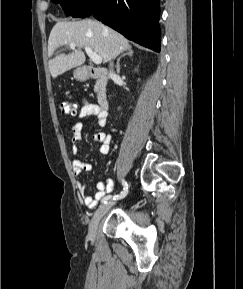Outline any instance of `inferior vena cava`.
<instances>
[{"mask_svg":"<svg viewBox=\"0 0 243 289\" xmlns=\"http://www.w3.org/2000/svg\"><path fill=\"white\" fill-rule=\"evenodd\" d=\"M115 76H116V74H115L114 71H113V63H111V64H110L109 77H110V78H113V77H115Z\"/></svg>","mask_w":243,"mask_h":289,"instance_id":"inferior-vena-cava-1","label":"inferior vena cava"}]
</instances>
